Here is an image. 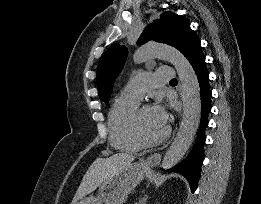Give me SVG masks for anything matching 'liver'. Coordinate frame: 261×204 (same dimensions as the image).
Masks as SVG:
<instances>
[{
	"label": "liver",
	"instance_id": "liver-1",
	"mask_svg": "<svg viewBox=\"0 0 261 204\" xmlns=\"http://www.w3.org/2000/svg\"><path fill=\"white\" fill-rule=\"evenodd\" d=\"M134 158L133 155L127 153H116L108 158H97L84 175L71 204H76L113 174L130 165Z\"/></svg>",
	"mask_w": 261,
	"mask_h": 204
}]
</instances>
